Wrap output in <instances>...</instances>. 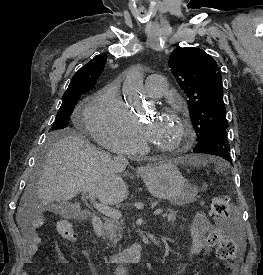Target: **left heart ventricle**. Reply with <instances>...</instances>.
Returning a JSON list of instances; mask_svg holds the SVG:
<instances>
[{"instance_id": "obj_1", "label": "left heart ventricle", "mask_w": 263, "mask_h": 275, "mask_svg": "<svg viewBox=\"0 0 263 275\" xmlns=\"http://www.w3.org/2000/svg\"><path fill=\"white\" fill-rule=\"evenodd\" d=\"M149 126L155 125L153 132L148 136L152 144L160 146H172L180 137V127L175 119L163 116L161 119L154 117L149 119Z\"/></svg>"}]
</instances>
